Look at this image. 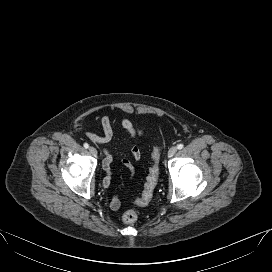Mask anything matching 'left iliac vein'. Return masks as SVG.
<instances>
[{
    "label": "left iliac vein",
    "instance_id": "obj_1",
    "mask_svg": "<svg viewBox=\"0 0 272 272\" xmlns=\"http://www.w3.org/2000/svg\"><path fill=\"white\" fill-rule=\"evenodd\" d=\"M176 152H177V147L173 146V147H171V148L169 149V151H168V156H169V157H172V156H174V155L176 154Z\"/></svg>",
    "mask_w": 272,
    "mask_h": 272
}]
</instances>
